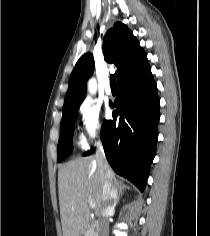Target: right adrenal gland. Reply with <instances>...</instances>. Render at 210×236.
<instances>
[{"label": "right adrenal gland", "instance_id": "2a0ac1e0", "mask_svg": "<svg viewBox=\"0 0 210 236\" xmlns=\"http://www.w3.org/2000/svg\"><path fill=\"white\" fill-rule=\"evenodd\" d=\"M117 188V200L116 203L119 202L121 195L123 194L124 191H126L127 189H129V187L125 184H123L122 182L118 183L116 185Z\"/></svg>", "mask_w": 210, "mask_h": 236}]
</instances>
